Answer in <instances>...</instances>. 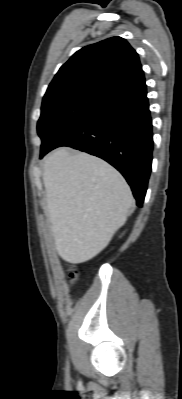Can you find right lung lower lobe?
Segmentation results:
<instances>
[{"instance_id": "obj_1", "label": "right lung lower lobe", "mask_w": 182, "mask_h": 399, "mask_svg": "<svg viewBox=\"0 0 182 399\" xmlns=\"http://www.w3.org/2000/svg\"><path fill=\"white\" fill-rule=\"evenodd\" d=\"M152 120L146 84L114 94L54 139L46 153L69 146L98 156L119 170L142 206L152 163Z\"/></svg>"}]
</instances>
